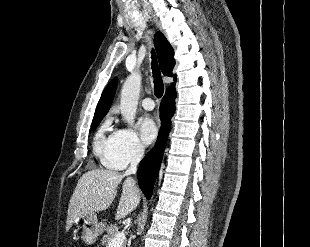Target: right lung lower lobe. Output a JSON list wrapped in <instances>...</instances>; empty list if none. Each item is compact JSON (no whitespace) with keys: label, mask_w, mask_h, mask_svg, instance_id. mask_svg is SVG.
I'll list each match as a JSON object with an SVG mask.
<instances>
[{"label":"right lung lower lobe","mask_w":310,"mask_h":247,"mask_svg":"<svg viewBox=\"0 0 310 247\" xmlns=\"http://www.w3.org/2000/svg\"><path fill=\"white\" fill-rule=\"evenodd\" d=\"M175 91L167 90L160 105L161 130L155 147L142 159L138 168V182L142 192L149 200L152 194L155 178L161 164L167 135L170 129V118L175 106Z\"/></svg>","instance_id":"obj_1"}]
</instances>
